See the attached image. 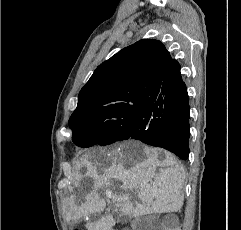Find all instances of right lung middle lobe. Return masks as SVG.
<instances>
[{
	"label": "right lung middle lobe",
	"mask_w": 241,
	"mask_h": 230,
	"mask_svg": "<svg viewBox=\"0 0 241 230\" xmlns=\"http://www.w3.org/2000/svg\"><path fill=\"white\" fill-rule=\"evenodd\" d=\"M146 105L113 109L105 120L79 122L72 128V141L79 147H90L127 140L130 134L143 132L148 127L150 119L145 118Z\"/></svg>",
	"instance_id": "1"
}]
</instances>
